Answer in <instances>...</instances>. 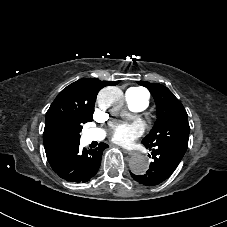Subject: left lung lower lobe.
I'll use <instances>...</instances> for the list:
<instances>
[{"mask_svg":"<svg viewBox=\"0 0 227 227\" xmlns=\"http://www.w3.org/2000/svg\"><path fill=\"white\" fill-rule=\"evenodd\" d=\"M148 149L152 152L154 159L150 163L149 170L144 175L131 173V176L144 185L154 186L166 180L174 172L184 154L166 145L148 147Z\"/></svg>","mask_w":227,"mask_h":227,"instance_id":"left-lung-lower-lobe-1","label":"left lung lower lobe"}]
</instances>
